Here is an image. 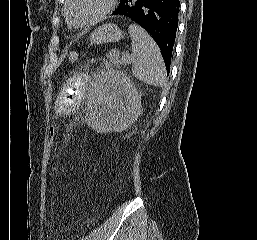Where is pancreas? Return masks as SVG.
I'll return each instance as SVG.
<instances>
[{
	"label": "pancreas",
	"instance_id": "cf45deb5",
	"mask_svg": "<svg viewBox=\"0 0 257 240\" xmlns=\"http://www.w3.org/2000/svg\"><path fill=\"white\" fill-rule=\"evenodd\" d=\"M107 58L109 59V62L113 65H121L122 62L119 60V52L116 50H111L107 53Z\"/></svg>",
	"mask_w": 257,
	"mask_h": 240
}]
</instances>
